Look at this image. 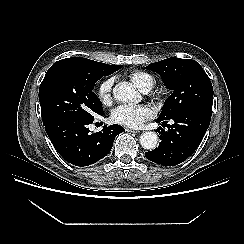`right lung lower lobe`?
Masks as SVG:
<instances>
[{
    "instance_id": "98d812e1",
    "label": "right lung lower lobe",
    "mask_w": 244,
    "mask_h": 244,
    "mask_svg": "<svg viewBox=\"0 0 244 244\" xmlns=\"http://www.w3.org/2000/svg\"><path fill=\"white\" fill-rule=\"evenodd\" d=\"M93 120L67 117L53 119L43 125L58 153L67 162L84 167L104 158L110 152L115 137L125 131L122 126L114 124L90 133L88 125Z\"/></svg>"
}]
</instances>
